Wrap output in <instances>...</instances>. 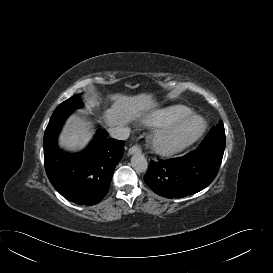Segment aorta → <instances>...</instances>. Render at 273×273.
<instances>
[{
	"instance_id": "obj_1",
	"label": "aorta",
	"mask_w": 273,
	"mask_h": 273,
	"mask_svg": "<svg viewBox=\"0 0 273 273\" xmlns=\"http://www.w3.org/2000/svg\"><path fill=\"white\" fill-rule=\"evenodd\" d=\"M131 166L140 173L147 171L148 162L143 154L137 152L131 158Z\"/></svg>"
}]
</instances>
